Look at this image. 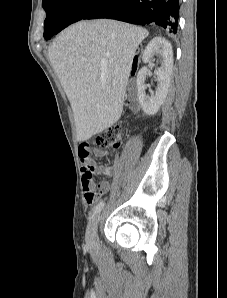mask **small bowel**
Listing matches in <instances>:
<instances>
[{
	"instance_id": "obj_1",
	"label": "small bowel",
	"mask_w": 227,
	"mask_h": 298,
	"mask_svg": "<svg viewBox=\"0 0 227 298\" xmlns=\"http://www.w3.org/2000/svg\"><path fill=\"white\" fill-rule=\"evenodd\" d=\"M137 108V106H134ZM79 147V158L83 165L82 169V185L84 191L86 188L93 189L97 191L99 196L106 194L109 191L110 185L107 181H102L98 184L97 190L95 189L92 176L93 174H102L107 177L112 176L118 166L119 162H116L112 166H104L95 164L92 160L93 154L97 157H102L106 155V151L100 149V146H89V142H78Z\"/></svg>"
}]
</instances>
